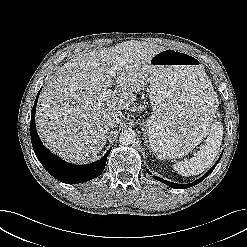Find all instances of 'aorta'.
Listing matches in <instances>:
<instances>
[{"mask_svg": "<svg viewBox=\"0 0 247 247\" xmlns=\"http://www.w3.org/2000/svg\"><path fill=\"white\" fill-rule=\"evenodd\" d=\"M136 133L133 130H124L120 133L119 141L123 145H129L135 142Z\"/></svg>", "mask_w": 247, "mask_h": 247, "instance_id": "aorta-1", "label": "aorta"}]
</instances>
